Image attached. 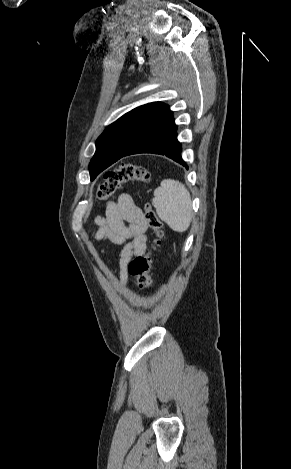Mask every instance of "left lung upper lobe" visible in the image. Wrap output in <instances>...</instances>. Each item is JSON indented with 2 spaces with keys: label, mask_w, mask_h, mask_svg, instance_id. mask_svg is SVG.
<instances>
[{
  "label": "left lung upper lobe",
  "mask_w": 291,
  "mask_h": 469,
  "mask_svg": "<svg viewBox=\"0 0 291 469\" xmlns=\"http://www.w3.org/2000/svg\"><path fill=\"white\" fill-rule=\"evenodd\" d=\"M171 116L168 105L153 102L131 110L109 125L96 140V152L89 164L91 180Z\"/></svg>",
  "instance_id": "1"
}]
</instances>
